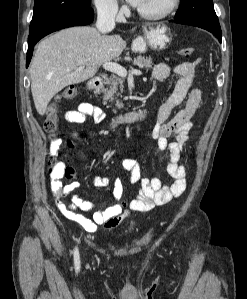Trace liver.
<instances>
[{"label": "liver", "mask_w": 247, "mask_h": 299, "mask_svg": "<svg viewBox=\"0 0 247 299\" xmlns=\"http://www.w3.org/2000/svg\"><path fill=\"white\" fill-rule=\"evenodd\" d=\"M125 47L119 35H101L89 26L63 29L43 39L30 66L37 112L43 115L59 91L92 78L102 64L119 57Z\"/></svg>", "instance_id": "obj_1"}]
</instances>
